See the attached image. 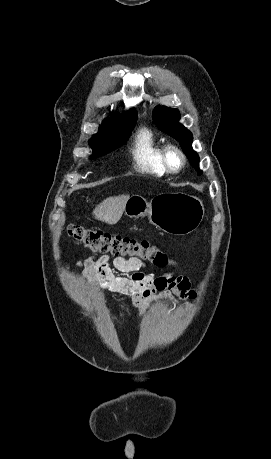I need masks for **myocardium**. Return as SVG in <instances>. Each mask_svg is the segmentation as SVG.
Here are the masks:
<instances>
[{
    "instance_id": "1",
    "label": "myocardium",
    "mask_w": 271,
    "mask_h": 459,
    "mask_svg": "<svg viewBox=\"0 0 271 459\" xmlns=\"http://www.w3.org/2000/svg\"><path fill=\"white\" fill-rule=\"evenodd\" d=\"M177 154L180 158V165L179 167H174L171 162V155ZM161 156L163 164L166 170L172 174H179L181 173L185 167L187 166L188 158L187 154L184 149L177 143H166L163 145L161 150Z\"/></svg>"
}]
</instances>
